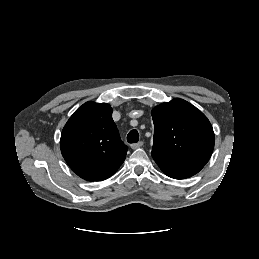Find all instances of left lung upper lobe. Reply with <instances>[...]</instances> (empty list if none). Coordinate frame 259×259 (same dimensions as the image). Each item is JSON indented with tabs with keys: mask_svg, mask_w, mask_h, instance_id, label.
Listing matches in <instances>:
<instances>
[{
	"mask_svg": "<svg viewBox=\"0 0 259 259\" xmlns=\"http://www.w3.org/2000/svg\"><path fill=\"white\" fill-rule=\"evenodd\" d=\"M155 130L152 157L205 165L214 149L207 117L187 101L175 98L151 111Z\"/></svg>",
	"mask_w": 259,
	"mask_h": 259,
	"instance_id": "5c2ea615",
	"label": "left lung upper lobe"
}]
</instances>
